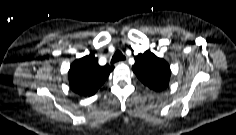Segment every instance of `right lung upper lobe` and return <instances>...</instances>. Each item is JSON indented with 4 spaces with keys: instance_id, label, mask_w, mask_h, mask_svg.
Returning <instances> with one entry per match:
<instances>
[{
    "instance_id": "cb5924a9",
    "label": "right lung upper lobe",
    "mask_w": 236,
    "mask_h": 135,
    "mask_svg": "<svg viewBox=\"0 0 236 135\" xmlns=\"http://www.w3.org/2000/svg\"><path fill=\"white\" fill-rule=\"evenodd\" d=\"M113 69L114 66L108 64L100 66L92 54L76 59L68 72L70 88L81 96L90 97L103 85Z\"/></svg>"
}]
</instances>
